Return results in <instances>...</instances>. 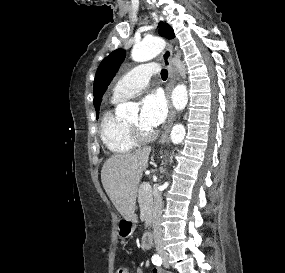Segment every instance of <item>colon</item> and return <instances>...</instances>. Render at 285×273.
<instances>
[{"mask_svg": "<svg viewBox=\"0 0 285 273\" xmlns=\"http://www.w3.org/2000/svg\"><path fill=\"white\" fill-rule=\"evenodd\" d=\"M117 273H130V270L127 267H120Z\"/></svg>", "mask_w": 285, "mask_h": 273, "instance_id": "5ec220e1", "label": "colon"}]
</instances>
